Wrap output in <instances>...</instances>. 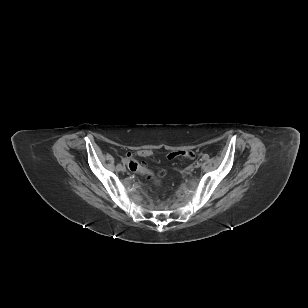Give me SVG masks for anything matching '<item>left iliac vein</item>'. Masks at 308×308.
Masks as SVG:
<instances>
[{"instance_id":"left-iliac-vein-1","label":"left iliac vein","mask_w":308,"mask_h":308,"mask_svg":"<svg viewBox=\"0 0 308 308\" xmlns=\"http://www.w3.org/2000/svg\"><path fill=\"white\" fill-rule=\"evenodd\" d=\"M200 166H201V164H200L199 162H197V163L194 164V167H195V168H199Z\"/></svg>"}]
</instances>
